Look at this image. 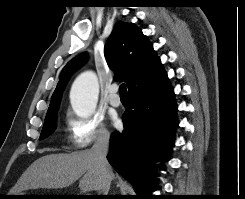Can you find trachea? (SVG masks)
<instances>
[{
	"instance_id": "1",
	"label": "trachea",
	"mask_w": 245,
	"mask_h": 199,
	"mask_svg": "<svg viewBox=\"0 0 245 199\" xmlns=\"http://www.w3.org/2000/svg\"><path fill=\"white\" fill-rule=\"evenodd\" d=\"M119 93L121 96H127L126 85L124 83L120 85Z\"/></svg>"
}]
</instances>
